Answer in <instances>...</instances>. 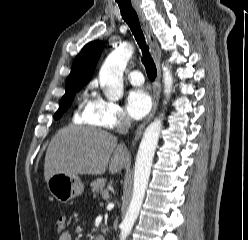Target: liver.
Instances as JSON below:
<instances>
[{"label":"liver","mask_w":248,"mask_h":240,"mask_svg":"<svg viewBox=\"0 0 248 240\" xmlns=\"http://www.w3.org/2000/svg\"><path fill=\"white\" fill-rule=\"evenodd\" d=\"M130 161L125 146L112 134L92 127L70 125L60 129L47 149L44 177L56 173L72 176L120 172Z\"/></svg>","instance_id":"6515ba94"}]
</instances>
